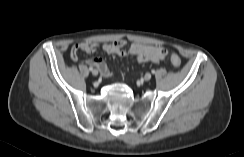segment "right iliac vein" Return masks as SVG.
Here are the masks:
<instances>
[{
    "mask_svg": "<svg viewBox=\"0 0 244 157\" xmlns=\"http://www.w3.org/2000/svg\"><path fill=\"white\" fill-rule=\"evenodd\" d=\"M92 74H93V76H97V75H98V71H97V70H94V71L92 72Z\"/></svg>",
    "mask_w": 244,
    "mask_h": 157,
    "instance_id": "63e3f726",
    "label": "right iliac vein"
}]
</instances>
